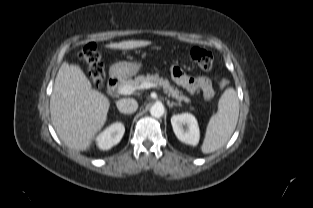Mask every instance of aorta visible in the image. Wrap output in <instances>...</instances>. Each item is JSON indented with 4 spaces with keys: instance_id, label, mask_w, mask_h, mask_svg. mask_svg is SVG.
<instances>
[{
    "instance_id": "762f6f07",
    "label": "aorta",
    "mask_w": 313,
    "mask_h": 208,
    "mask_svg": "<svg viewBox=\"0 0 313 208\" xmlns=\"http://www.w3.org/2000/svg\"><path fill=\"white\" fill-rule=\"evenodd\" d=\"M164 112H165V108L163 106L162 103H155L151 108H150V114L153 116V117H156V118H160L164 115Z\"/></svg>"
}]
</instances>
